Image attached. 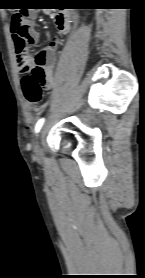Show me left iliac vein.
<instances>
[{
	"label": "left iliac vein",
	"instance_id": "left-iliac-vein-1",
	"mask_svg": "<svg viewBox=\"0 0 145 278\" xmlns=\"http://www.w3.org/2000/svg\"><path fill=\"white\" fill-rule=\"evenodd\" d=\"M43 137H44V132L41 131L38 134V137H37V139L35 140V143H34L35 156L38 159H40L42 157L41 140L43 139Z\"/></svg>",
	"mask_w": 145,
	"mask_h": 278
}]
</instances>
